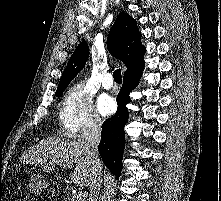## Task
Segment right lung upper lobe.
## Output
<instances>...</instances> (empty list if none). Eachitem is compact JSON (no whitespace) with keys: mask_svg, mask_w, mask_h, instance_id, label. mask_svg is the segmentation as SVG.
I'll use <instances>...</instances> for the list:
<instances>
[{"mask_svg":"<svg viewBox=\"0 0 221 201\" xmlns=\"http://www.w3.org/2000/svg\"><path fill=\"white\" fill-rule=\"evenodd\" d=\"M110 53L123 61L127 70L124 75L143 68V57L146 52L141 44V33L136 21L127 13H120L110 29L107 38ZM89 55V47L83 40L71 56L58 85L57 91H64L71 80L84 67Z\"/></svg>","mask_w":221,"mask_h":201,"instance_id":"obj_1","label":"right lung upper lobe"}]
</instances>
